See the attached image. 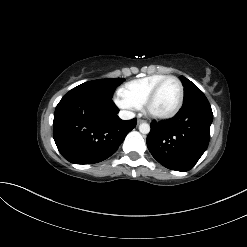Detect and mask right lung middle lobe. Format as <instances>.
I'll use <instances>...</instances> for the list:
<instances>
[{
	"instance_id": "1",
	"label": "right lung middle lobe",
	"mask_w": 247,
	"mask_h": 247,
	"mask_svg": "<svg viewBox=\"0 0 247 247\" xmlns=\"http://www.w3.org/2000/svg\"><path fill=\"white\" fill-rule=\"evenodd\" d=\"M125 79H99L94 81L85 82L69 92H80L85 94H97L107 98H112L114 90L119 86Z\"/></svg>"
}]
</instances>
